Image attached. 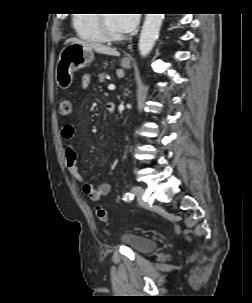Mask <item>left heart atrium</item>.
<instances>
[{
    "label": "left heart atrium",
    "instance_id": "1",
    "mask_svg": "<svg viewBox=\"0 0 252 303\" xmlns=\"http://www.w3.org/2000/svg\"><path fill=\"white\" fill-rule=\"evenodd\" d=\"M116 21L123 32H129L136 28L139 22L138 14H116Z\"/></svg>",
    "mask_w": 252,
    "mask_h": 303
}]
</instances>
